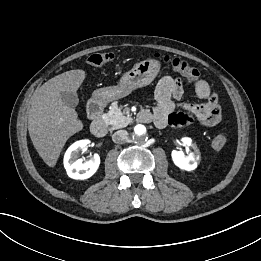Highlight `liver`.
<instances>
[{
	"label": "liver",
	"instance_id": "obj_1",
	"mask_svg": "<svg viewBox=\"0 0 261 261\" xmlns=\"http://www.w3.org/2000/svg\"><path fill=\"white\" fill-rule=\"evenodd\" d=\"M86 77L84 70H70L57 75L40 88L30 100L28 131L39 156L54 167L66 141L83 129L77 112L66 106L61 92H75Z\"/></svg>",
	"mask_w": 261,
	"mask_h": 261
}]
</instances>
